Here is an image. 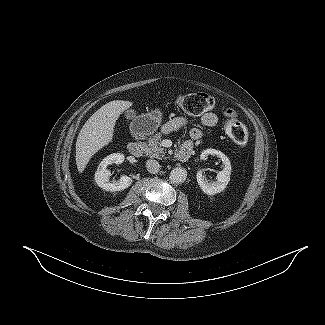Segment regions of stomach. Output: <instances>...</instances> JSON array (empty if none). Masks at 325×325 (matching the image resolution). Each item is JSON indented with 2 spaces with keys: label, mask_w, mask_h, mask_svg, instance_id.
<instances>
[{
  "label": "stomach",
  "mask_w": 325,
  "mask_h": 325,
  "mask_svg": "<svg viewBox=\"0 0 325 325\" xmlns=\"http://www.w3.org/2000/svg\"><path fill=\"white\" fill-rule=\"evenodd\" d=\"M162 122L159 110L140 115L131 124V131L136 135H151L157 131Z\"/></svg>",
  "instance_id": "0dacf381"
}]
</instances>
